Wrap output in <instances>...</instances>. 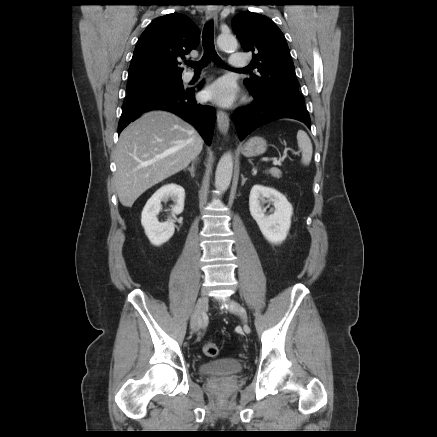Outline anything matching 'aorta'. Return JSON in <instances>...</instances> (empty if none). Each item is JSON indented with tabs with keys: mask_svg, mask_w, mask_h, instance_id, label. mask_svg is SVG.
<instances>
[{
	"mask_svg": "<svg viewBox=\"0 0 437 437\" xmlns=\"http://www.w3.org/2000/svg\"><path fill=\"white\" fill-rule=\"evenodd\" d=\"M218 47L223 51L237 49V40L230 34H220L217 38ZM233 173V156L230 152L225 153L219 160L215 173V185L219 191H225L230 185Z\"/></svg>",
	"mask_w": 437,
	"mask_h": 437,
	"instance_id": "762f6f07",
	"label": "aorta"
}]
</instances>
